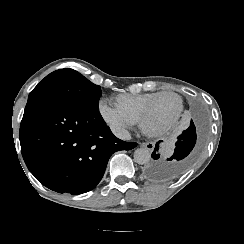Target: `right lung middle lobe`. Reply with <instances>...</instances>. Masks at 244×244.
I'll return each instance as SVG.
<instances>
[{
    "label": "right lung middle lobe",
    "mask_w": 244,
    "mask_h": 244,
    "mask_svg": "<svg viewBox=\"0 0 244 244\" xmlns=\"http://www.w3.org/2000/svg\"><path fill=\"white\" fill-rule=\"evenodd\" d=\"M101 87L73 69H60L47 75L29 94L31 100H56L89 111H99Z\"/></svg>",
    "instance_id": "right-lung-middle-lobe-1"
}]
</instances>
